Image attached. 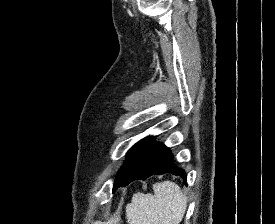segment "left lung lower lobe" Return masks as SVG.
I'll use <instances>...</instances> for the list:
<instances>
[{"label":"left lung lower lobe","instance_id":"1","mask_svg":"<svg viewBox=\"0 0 275 224\" xmlns=\"http://www.w3.org/2000/svg\"><path fill=\"white\" fill-rule=\"evenodd\" d=\"M150 137L141 148L127 172L114 183L113 191L120 186H126L134 180H145L150 175L171 173L182 177L186 183V173L173 162V156L163 144L152 143Z\"/></svg>","mask_w":275,"mask_h":224}]
</instances>
